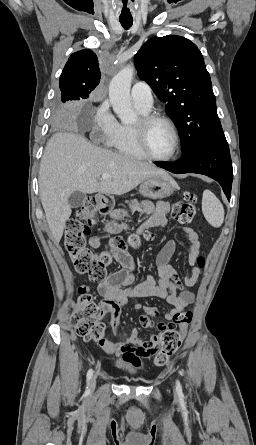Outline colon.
Listing matches in <instances>:
<instances>
[{"instance_id": "5ec220e1", "label": "colon", "mask_w": 256, "mask_h": 445, "mask_svg": "<svg viewBox=\"0 0 256 445\" xmlns=\"http://www.w3.org/2000/svg\"><path fill=\"white\" fill-rule=\"evenodd\" d=\"M196 197L192 192H185L182 198L176 202L172 208V216L180 224L190 223L196 215ZM97 225L95 214V200H86L76 218L67 224L64 248L69 254L77 272L87 275L93 281H103L106 278V268L113 262L114 257L110 252L100 254L92 252L86 246V240L92 228ZM145 239H150L151 234L146 232ZM139 238L133 236L129 244L136 245ZM110 246L115 249H125L126 243L119 237L111 239ZM199 266H203L204 261L198 258ZM102 306L95 302L86 287L79 289V296L76 302L71 322L76 333L86 339L95 342H104L106 339V329L101 321ZM192 320L191 311L179 313L174 323L179 328H186ZM183 339V332L173 327L165 330L161 335L158 347L152 353L154 363L158 366L164 365L169 358L179 349Z\"/></svg>"}]
</instances>
